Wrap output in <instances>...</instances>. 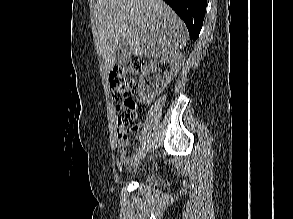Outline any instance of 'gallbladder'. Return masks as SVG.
<instances>
[{
  "label": "gallbladder",
  "mask_w": 293,
  "mask_h": 219,
  "mask_svg": "<svg viewBox=\"0 0 293 219\" xmlns=\"http://www.w3.org/2000/svg\"><path fill=\"white\" fill-rule=\"evenodd\" d=\"M132 53L128 41L123 38L118 42L115 49L116 65L126 64L131 59Z\"/></svg>",
  "instance_id": "gallbladder-1"
}]
</instances>
